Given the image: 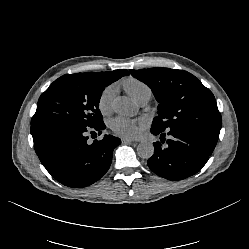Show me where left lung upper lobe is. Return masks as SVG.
<instances>
[{"mask_svg": "<svg viewBox=\"0 0 249 249\" xmlns=\"http://www.w3.org/2000/svg\"><path fill=\"white\" fill-rule=\"evenodd\" d=\"M130 73L147 84L159 102L152 126L162 131L187 125L221 128L222 118L214 95L189 72L156 67Z\"/></svg>", "mask_w": 249, "mask_h": 249, "instance_id": "left-lung-upper-lobe-1", "label": "left lung upper lobe"}]
</instances>
